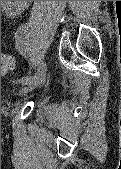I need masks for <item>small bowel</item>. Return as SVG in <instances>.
Listing matches in <instances>:
<instances>
[{
	"instance_id": "obj_1",
	"label": "small bowel",
	"mask_w": 121,
	"mask_h": 169,
	"mask_svg": "<svg viewBox=\"0 0 121 169\" xmlns=\"http://www.w3.org/2000/svg\"><path fill=\"white\" fill-rule=\"evenodd\" d=\"M30 1H2L5 15L14 17L18 15Z\"/></svg>"
}]
</instances>
